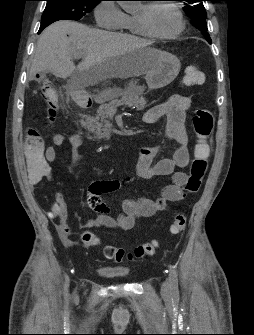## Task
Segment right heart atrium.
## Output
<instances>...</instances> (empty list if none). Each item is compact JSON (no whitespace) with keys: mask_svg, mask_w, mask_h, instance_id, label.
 Here are the masks:
<instances>
[{"mask_svg":"<svg viewBox=\"0 0 254 335\" xmlns=\"http://www.w3.org/2000/svg\"><path fill=\"white\" fill-rule=\"evenodd\" d=\"M94 14L97 24L106 29H119L125 17L121 8L110 0L101 1Z\"/></svg>","mask_w":254,"mask_h":335,"instance_id":"1","label":"right heart atrium"}]
</instances>
